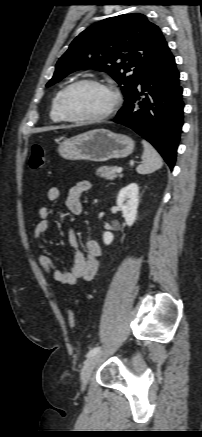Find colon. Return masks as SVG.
Instances as JSON below:
<instances>
[{
	"mask_svg": "<svg viewBox=\"0 0 202 437\" xmlns=\"http://www.w3.org/2000/svg\"><path fill=\"white\" fill-rule=\"evenodd\" d=\"M45 161H46L45 149L40 145H34L32 147L30 161H29L30 168L32 170L40 169L44 166ZM67 320L70 328L73 329L76 327V315L72 309L68 311Z\"/></svg>",
	"mask_w": 202,
	"mask_h": 437,
	"instance_id": "1",
	"label": "colon"
}]
</instances>
